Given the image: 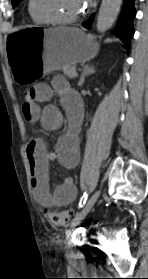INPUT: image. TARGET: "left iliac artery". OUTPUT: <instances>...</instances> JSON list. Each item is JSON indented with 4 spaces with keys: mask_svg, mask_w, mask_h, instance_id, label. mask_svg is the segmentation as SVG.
Returning <instances> with one entry per match:
<instances>
[{
    "mask_svg": "<svg viewBox=\"0 0 148 279\" xmlns=\"http://www.w3.org/2000/svg\"><path fill=\"white\" fill-rule=\"evenodd\" d=\"M87 198H88V192L85 191V192L83 193V196H82L81 199H80L79 208H82V207L85 205Z\"/></svg>",
    "mask_w": 148,
    "mask_h": 279,
    "instance_id": "44dca946",
    "label": "left iliac artery"
}]
</instances>
